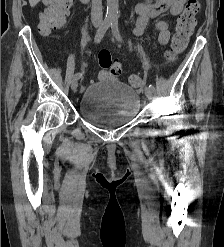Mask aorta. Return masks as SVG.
<instances>
[{"label": "aorta", "instance_id": "aorta-1", "mask_svg": "<svg viewBox=\"0 0 224 247\" xmlns=\"http://www.w3.org/2000/svg\"><path fill=\"white\" fill-rule=\"evenodd\" d=\"M118 0H107V20H117L118 18Z\"/></svg>", "mask_w": 224, "mask_h": 247}]
</instances>
